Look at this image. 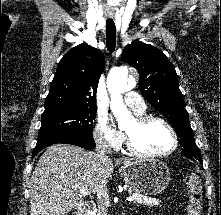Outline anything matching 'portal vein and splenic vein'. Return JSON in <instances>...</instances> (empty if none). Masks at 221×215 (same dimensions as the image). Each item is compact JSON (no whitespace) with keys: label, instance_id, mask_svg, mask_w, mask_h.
<instances>
[{"label":"portal vein and splenic vein","instance_id":"18ae733b","mask_svg":"<svg viewBox=\"0 0 221 215\" xmlns=\"http://www.w3.org/2000/svg\"><path fill=\"white\" fill-rule=\"evenodd\" d=\"M79 193L82 194V195H90V194L93 193V192H91V191H89V190L83 188V189H80V190H79ZM137 199H138L137 196H130V197H127V198H126L127 201H134V200H137Z\"/></svg>","mask_w":221,"mask_h":215}]
</instances>
